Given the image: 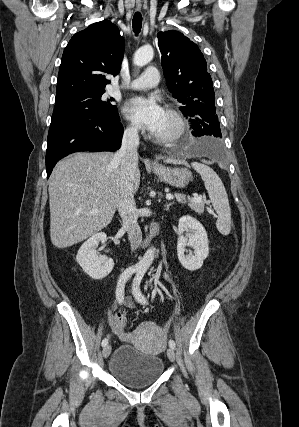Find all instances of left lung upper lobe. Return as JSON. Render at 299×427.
Masks as SVG:
<instances>
[{
    "mask_svg": "<svg viewBox=\"0 0 299 427\" xmlns=\"http://www.w3.org/2000/svg\"><path fill=\"white\" fill-rule=\"evenodd\" d=\"M157 37L168 89L184 105L180 110L187 116H197L196 109L204 107L210 114V131L214 137H221L212 79L200 49L175 30L161 31Z\"/></svg>",
    "mask_w": 299,
    "mask_h": 427,
    "instance_id": "5c2ea615",
    "label": "left lung upper lobe"
}]
</instances>
